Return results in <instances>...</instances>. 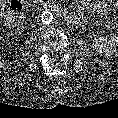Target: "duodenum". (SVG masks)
Masks as SVG:
<instances>
[{
    "label": "duodenum",
    "instance_id": "1",
    "mask_svg": "<svg viewBox=\"0 0 118 118\" xmlns=\"http://www.w3.org/2000/svg\"><path fill=\"white\" fill-rule=\"evenodd\" d=\"M42 9L57 13L60 17L73 26L79 25V18L69 8L58 2L46 3L42 6Z\"/></svg>",
    "mask_w": 118,
    "mask_h": 118
}]
</instances>
